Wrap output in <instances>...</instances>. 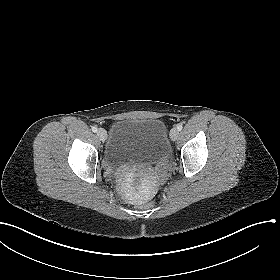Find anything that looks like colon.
Returning a JSON list of instances; mask_svg holds the SVG:
<instances>
[{"label":"colon","instance_id":"colon-1","mask_svg":"<svg viewBox=\"0 0 280 280\" xmlns=\"http://www.w3.org/2000/svg\"><path fill=\"white\" fill-rule=\"evenodd\" d=\"M151 205H152V202H148V203L144 204V207H149Z\"/></svg>","mask_w":280,"mask_h":280}]
</instances>
